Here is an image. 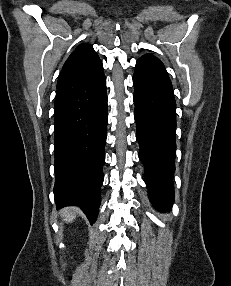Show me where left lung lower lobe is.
<instances>
[{"instance_id":"0a47b994","label":"left lung lower lobe","mask_w":231,"mask_h":286,"mask_svg":"<svg viewBox=\"0 0 231 286\" xmlns=\"http://www.w3.org/2000/svg\"><path fill=\"white\" fill-rule=\"evenodd\" d=\"M139 158L153 205L169 210L174 199L176 103L172 83L160 61L140 58L133 76Z\"/></svg>"}]
</instances>
